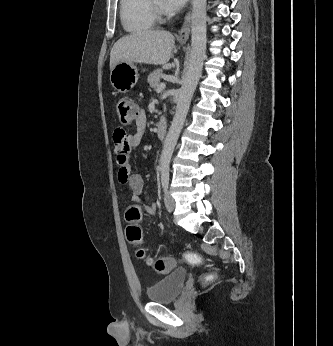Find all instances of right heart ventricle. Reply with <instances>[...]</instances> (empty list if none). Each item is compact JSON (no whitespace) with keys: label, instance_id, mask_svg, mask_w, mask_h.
<instances>
[{"label":"right heart ventricle","instance_id":"1","mask_svg":"<svg viewBox=\"0 0 333 346\" xmlns=\"http://www.w3.org/2000/svg\"><path fill=\"white\" fill-rule=\"evenodd\" d=\"M120 19L127 32L151 30L155 24V16L150 0H120Z\"/></svg>","mask_w":333,"mask_h":346}]
</instances>
